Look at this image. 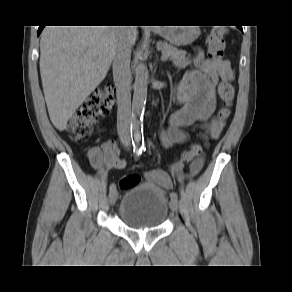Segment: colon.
Masks as SVG:
<instances>
[{
	"instance_id": "5ec220e1",
	"label": "colon",
	"mask_w": 292,
	"mask_h": 292,
	"mask_svg": "<svg viewBox=\"0 0 292 292\" xmlns=\"http://www.w3.org/2000/svg\"><path fill=\"white\" fill-rule=\"evenodd\" d=\"M224 25L213 28L206 40L208 55L212 59H222L225 50ZM113 88L109 85L96 89L80 106L77 113L68 122V132L74 142L86 141L93 133L98 120L106 116L113 107ZM218 94L223 102V107L219 110V117L227 119L232 113L234 102V88L226 81H221L218 85ZM202 146L193 144L189 150L182 154V162H190L202 154ZM140 183L137 174L124 176L119 183L122 190L129 189Z\"/></svg>"
}]
</instances>
